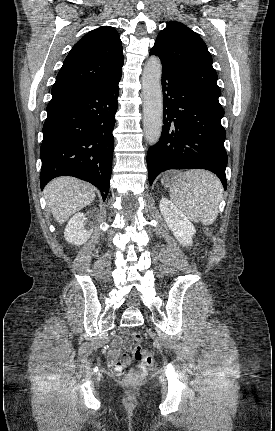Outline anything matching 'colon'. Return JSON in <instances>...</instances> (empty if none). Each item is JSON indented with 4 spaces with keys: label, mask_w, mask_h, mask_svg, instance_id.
<instances>
[{
    "label": "colon",
    "mask_w": 275,
    "mask_h": 431,
    "mask_svg": "<svg viewBox=\"0 0 275 431\" xmlns=\"http://www.w3.org/2000/svg\"><path fill=\"white\" fill-rule=\"evenodd\" d=\"M134 340L140 342L142 340V335L139 332H132L126 337V342ZM134 359L137 362L143 363L147 366H151L155 362L154 354L148 349L141 346H136L133 350ZM124 369L123 364L120 362L117 367V372L120 373ZM145 376V368L142 365H138L131 369L124 378V382L127 386L139 385Z\"/></svg>",
    "instance_id": "5ec220e1"
}]
</instances>
